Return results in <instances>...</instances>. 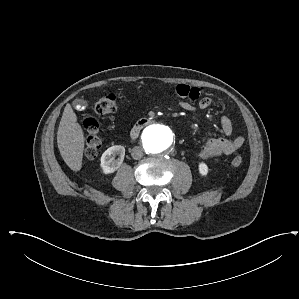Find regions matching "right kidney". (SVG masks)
<instances>
[{
    "instance_id": "right-kidney-1",
    "label": "right kidney",
    "mask_w": 299,
    "mask_h": 299,
    "mask_svg": "<svg viewBox=\"0 0 299 299\" xmlns=\"http://www.w3.org/2000/svg\"><path fill=\"white\" fill-rule=\"evenodd\" d=\"M118 155V159L115 156ZM125 156V148L121 145H115L108 148L101 156L100 166L103 173L110 174L115 172L122 164Z\"/></svg>"
}]
</instances>
